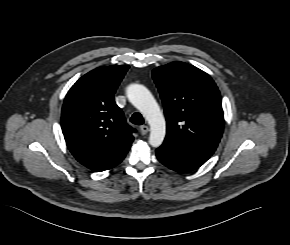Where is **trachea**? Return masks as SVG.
Listing matches in <instances>:
<instances>
[{
    "label": "trachea",
    "mask_w": 290,
    "mask_h": 245,
    "mask_svg": "<svg viewBox=\"0 0 290 245\" xmlns=\"http://www.w3.org/2000/svg\"><path fill=\"white\" fill-rule=\"evenodd\" d=\"M131 123L135 125H142L144 123V119L142 115L138 112L134 113L130 118Z\"/></svg>",
    "instance_id": "1"
}]
</instances>
